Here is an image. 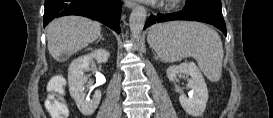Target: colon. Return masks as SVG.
I'll list each match as a JSON object with an SVG mask.
<instances>
[{
	"instance_id": "1",
	"label": "colon",
	"mask_w": 273,
	"mask_h": 118,
	"mask_svg": "<svg viewBox=\"0 0 273 118\" xmlns=\"http://www.w3.org/2000/svg\"><path fill=\"white\" fill-rule=\"evenodd\" d=\"M61 91L62 87L54 81L50 86V95L45 100L47 110L55 118H66L69 113Z\"/></svg>"
}]
</instances>
